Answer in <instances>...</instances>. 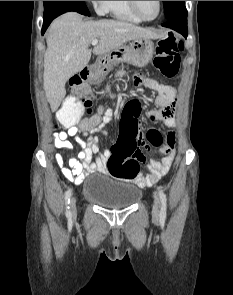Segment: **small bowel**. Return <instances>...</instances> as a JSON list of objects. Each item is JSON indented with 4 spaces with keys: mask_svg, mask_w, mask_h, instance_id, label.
Masks as SVG:
<instances>
[{
    "mask_svg": "<svg viewBox=\"0 0 233 295\" xmlns=\"http://www.w3.org/2000/svg\"><path fill=\"white\" fill-rule=\"evenodd\" d=\"M144 80L142 74L136 76V82L141 83ZM155 105L158 107L155 110L148 112V118L152 122H162L167 127H174L176 125L175 120V108L176 98H166L161 95H157ZM141 103L139 100L134 99L130 101L125 107L124 111H129L137 118L140 115ZM113 111L107 109L104 111L100 118L99 124L92 129H85L82 124L80 125H69L66 131L60 132L55 136L54 149H62L71 151L73 145L69 138H74L76 143L80 146L81 150L76 154H70L68 156V166H65V157L63 154L58 153L55 156L56 163L61 168L63 175L73 181L75 184L80 185L83 183L86 176L89 174L100 172H108V161L111 157V151L105 149L100 151L99 138L95 135L97 132H104V128L112 120ZM89 133L87 140H83L79 133ZM175 133L169 132L166 139L165 145L162 148L164 157L161 160L151 159L148 165L149 172L147 174L139 173L133 182L141 187H151L159 179L164 177L171 168V165L175 158ZM94 156H96L94 158Z\"/></svg>",
    "mask_w": 233,
    "mask_h": 295,
    "instance_id": "small-bowel-1",
    "label": "small bowel"
}]
</instances>
